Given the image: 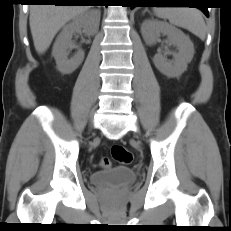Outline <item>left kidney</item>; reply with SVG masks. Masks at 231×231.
<instances>
[{"instance_id":"left-kidney-1","label":"left kidney","mask_w":231,"mask_h":231,"mask_svg":"<svg viewBox=\"0 0 231 231\" xmlns=\"http://www.w3.org/2000/svg\"><path fill=\"white\" fill-rule=\"evenodd\" d=\"M141 33L147 45L155 44L163 34L167 35L169 42L178 49V53L174 54L172 61H168L159 53L154 56L153 62L161 73L168 77H179L187 69V65L194 55V45L180 29L166 22L145 20L141 27Z\"/></svg>"}]
</instances>
